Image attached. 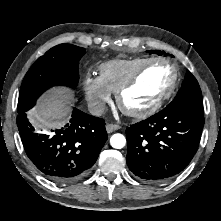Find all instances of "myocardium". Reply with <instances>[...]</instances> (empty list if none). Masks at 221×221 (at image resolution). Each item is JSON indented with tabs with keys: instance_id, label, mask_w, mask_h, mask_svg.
<instances>
[{
	"instance_id": "obj_1",
	"label": "myocardium",
	"mask_w": 221,
	"mask_h": 221,
	"mask_svg": "<svg viewBox=\"0 0 221 221\" xmlns=\"http://www.w3.org/2000/svg\"><path fill=\"white\" fill-rule=\"evenodd\" d=\"M155 63H164L169 65L173 70L172 80L167 87V89L147 108L142 110H132L124 105L123 97L126 91L132 88L139 80L141 75L152 65ZM179 69L176 64H174L171 60L166 58H151L147 62H145L142 66H140L135 73L129 77L116 91L115 99L120 110L127 116L143 119L155 114L164 103L171 97L174 93L178 81H179Z\"/></svg>"
}]
</instances>
